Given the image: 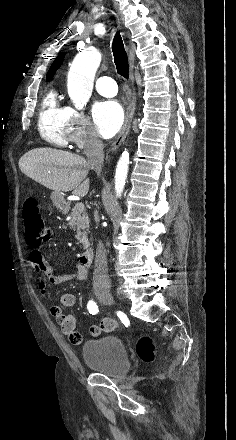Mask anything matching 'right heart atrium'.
<instances>
[{
  "label": "right heart atrium",
  "instance_id": "d8ad5b80",
  "mask_svg": "<svg viewBox=\"0 0 236 440\" xmlns=\"http://www.w3.org/2000/svg\"><path fill=\"white\" fill-rule=\"evenodd\" d=\"M69 143L79 150L92 151L100 147L89 117L82 111L68 107Z\"/></svg>",
  "mask_w": 236,
  "mask_h": 440
}]
</instances>
